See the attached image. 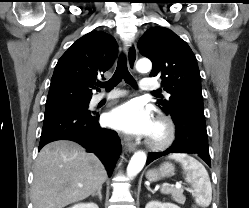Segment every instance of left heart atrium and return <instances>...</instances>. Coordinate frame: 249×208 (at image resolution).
Returning <instances> with one entry per match:
<instances>
[{
	"mask_svg": "<svg viewBox=\"0 0 249 208\" xmlns=\"http://www.w3.org/2000/svg\"><path fill=\"white\" fill-rule=\"evenodd\" d=\"M108 123L132 136H151L155 124L149 112L138 101L126 102L107 116Z\"/></svg>",
	"mask_w": 249,
	"mask_h": 208,
	"instance_id": "left-heart-atrium-1",
	"label": "left heart atrium"
}]
</instances>
